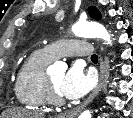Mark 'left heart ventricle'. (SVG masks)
<instances>
[{
	"label": "left heart ventricle",
	"instance_id": "left-heart-ventricle-1",
	"mask_svg": "<svg viewBox=\"0 0 133 118\" xmlns=\"http://www.w3.org/2000/svg\"><path fill=\"white\" fill-rule=\"evenodd\" d=\"M49 77L52 81V84H53L56 92L61 95L59 88H60V84L62 82V79L64 77V73L63 72H56V73L49 75Z\"/></svg>",
	"mask_w": 133,
	"mask_h": 118
}]
</instances>
